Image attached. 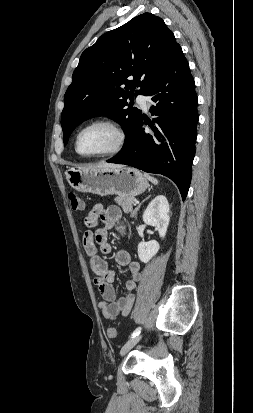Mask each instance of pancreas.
<instances>
[{"label":"pancreas","mask_w":253,"mask_h":413,"mask_svg":"<svg viewBox=\"0 0 253 413\" xmlns=\"http://www.w3.org/2000/svg\"><path fill=\"white\" fill-rule=\"evenodd\" d=\"M134 197L119 195L115 198V202L120 205L125 213H131L133 216Z\"/></svg>","instance_id":"pancreas-1"}]
</instances>
